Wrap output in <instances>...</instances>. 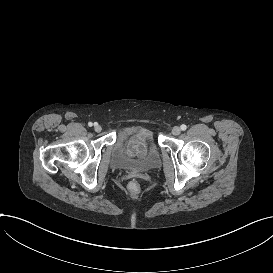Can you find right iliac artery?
I'll use <instances>...</instances> for the list:
<instances>
[{"label": "right iliac artery", "mask_w": 273, "mask_h": 273, "mask_svg": "<svg viewBox=\"0 0 273 273\" xmlns=\"http://www.w3.org/2000/svg\"><path fill=\"white\" fill-rule=\"evenodd\" d=\"M96 124H97V123H94V125H96ZM88 126H89V127H92V126H93V123H92V122H89V123H88Z\"/></svg>", "instance_id": "obj_1"}]
</instances>
